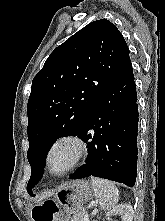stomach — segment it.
Wrapping results in <instances>:
<instances>
[{
	"mask_svg": "<svg viewBox=\"0 0 165 221\" xmlns=\"http://www.w3.org/2000/svg\"><path fill=\"white\" fill-rule=\"evenodd\" d=\"M95 196L91 182L73 180L65 183L53 199L37 200L32 217H72ZM35 221H75V218H35Z\"/></svg>",
	"mask_w": 165,
	"mask_h": 221,
	"instance_id": "stomach-1",
	"label": "stomach"
}]
</instances>
